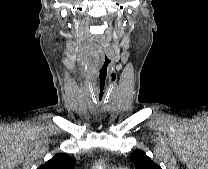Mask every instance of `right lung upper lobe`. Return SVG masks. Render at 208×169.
Returning <instances> with one entry per match:
<instances>
[{
  "instance_id": "obj_1",
  "label": "right lung upper lobe",
  "mask_w": 208,
  "mask_h": 169,
  "mask_svg": "<svg viewBox=\"0 0 208 169\" xmlns=\"http://www.w3.org/2000/svg\"><path fill=\"white\" fill-rule=\"evenodd\" d=\"M75 158L67 154H57L38 169H73L75 166Z\"/></svg>"
}]
</instances>
